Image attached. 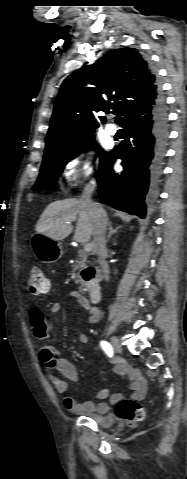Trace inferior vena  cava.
<instances>
[{"label":"inferior vena cava","instance_id":"inferior-vena-cava-1","mask_svg":"<svg viewBox=\"0 0 187 479\" xmlns=\"http://www.w3.org/2000/svg\"><path fill=\"white\" fill-rule=\"evenodd\" d=\"M95 189V184H88L82 193L81 201L87 208L91 222H92V235L95 252L98 256V260L106 281L109 280V265L105 260L107 254L106 247V227L108 224V218L105 210L101 204L93 202L91 197Z\"/></svg>","mask_w":187,"mask_h":479}]
</instances>
